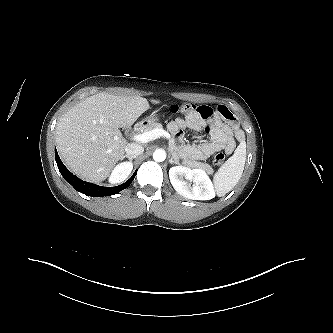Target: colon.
Wrapping results in <instances>:
<instances>
[{
	"label": "colon",
	"mask_w": 333,
	"mask_h": 333,
	"mask_svg": "<svg viewBox=\"0 0 333 333\" xmlns=\"http://www.w3.org/2000/svg\"><path fill=\"white\" fill-rule=\"evenodd\" d=\"M199 107L193 103L190 102H185V103H181V104H173L169 107V111L171 113H188L191 111H196L198 110ZM225 160V155L223 153H217L214 155L213 157V162L215 165L220 166L224 163Z\"/></svg>",
	"instance_id": "obj_1"
}]
</instances>
